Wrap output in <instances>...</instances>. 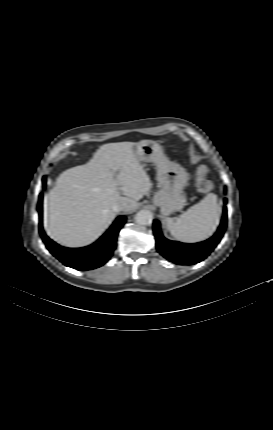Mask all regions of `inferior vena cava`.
<instances>
[{
    "mask_svg": "<svg viewBox=\"0 0 273 430\" xmlns=\"http://www.w3.org/2000/svg\"><path fill=\"white\" fill-rule=\"evenodd\" d=\"M125 208V204L123 202H117L112 206L114 212L123 211Z\"/></svg>",
    "mask_w": 273,
    "mask_h": 430,
    "instance_id": "inferior-vena-cava-1",
    "label": "inferior vena cava"
}]
</instances>
